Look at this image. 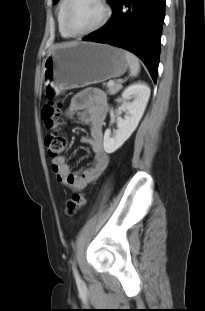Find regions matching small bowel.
I'll list each match as a JSON object with an SVG mask.
<instances>
[{
	"label": "small bowel",
	"mask_w": 205,
	"mask_h": 311,
	"mask_svg": "<svg viewBox=\"0 0 205 311\" xmlns=\"http://www.w3.org/2000/svg\"><path fill=\"white\" fill-rule=\"evenodd\" d=\"M108 114V103L105 94L99 89H85L70 100L66 110V118L76 117L80 124L89 125V136L82 137L93 154L92 166L80 173L73 172L65 156L52 159V169L57 180L72 190H82L99 178L109 163V153L103 145V132Z\"/></svg>",
	"instance_id": "obj_1"
}]
</instances>
